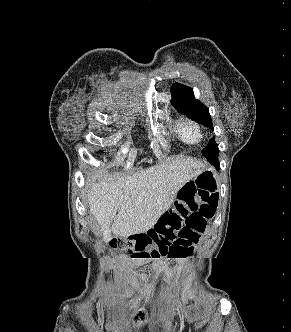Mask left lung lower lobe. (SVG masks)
<instances>
[{"instance_id":"1","label":"left lung lower lobe","mask_w":291,"mask_h":332,"mask_svg":"<svg viewBox=\"0 0 291 332\" xmlns=\"http://www.w3.org/2000/svg\"><path fill=\"white\" fill-rule=\"evenodd\" d=\"M211 164L214 165L216 168H219V162H218V160L212 162Z\"/></svg>"}]
</instances>
